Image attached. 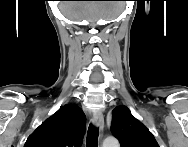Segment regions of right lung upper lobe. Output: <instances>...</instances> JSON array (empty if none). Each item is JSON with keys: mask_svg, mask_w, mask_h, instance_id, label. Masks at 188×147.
<instances>
[{"mask_svg": "<svg viewBox=\"0 0 188 147\" xmlns=\"http://www.w3.org/2000/svg\"><path fill=\"white\" fill-rule=\"evenodd\" d=\"M85 124L81 108L66 104L28 137L24 147H80Z\"/></svg>", "mask_w": 188, "mask_h": 147, "instance_id": "cb5924a9", "label": "right lung upper lobe"}]
</instances>
